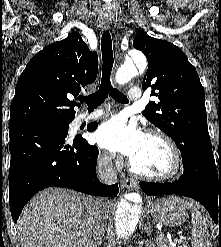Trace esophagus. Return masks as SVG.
<instances>
[{
	"mask_svg": "<svg viewBox=\"0 0 221 247\" xmlns=\"http://www.w3.org/2000/svg\"><path fill=\"white\" fill-rule=\"evenodd\" d=\"M101 27L103 30H107L110 28V19L108 17L103 18L101 21ZM122 187L132 189L137 187V182L134 179L126 178L122 181Z\"/></svg>",
	"mask_w": 221,
	"mask_h": 247,
	"instance_id": "esophagus-1",
	"label": "esophagus"
}]
</instances>
